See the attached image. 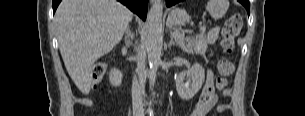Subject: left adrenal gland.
<instances>
[{
    "instance_id": "left-adrenal-gland-1",
    "label": "left adrenal gland",
    "mask_w": 305,
    "mask_h": 116,
    "mask_svg": "<svg viewBox=\"0 0 305 116\" xmlns=\"http://www.w3.org/2000/svg\"><path fill=\"white\" fill-rule=\"evenodd\" d=\"M171 45H178V44H176L175 42H174V40H173V35H171V37H170V42H169V44H168V47H170ZM182 47V46H181ZM182 49H183V47H182Z\"/></svg>"
}]
</instances>
